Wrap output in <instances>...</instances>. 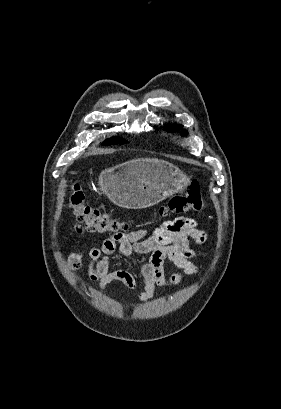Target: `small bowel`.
I'll use <instances>...</instances> for the list:
<instances>
[{
    "label": "small bowel",
    "instance_id": "obj_1",
    "mask_svg": "<svg viewBox=\"0 0 281 409\" xmlns=\"http://www.w3.org/2000/svg\"><path fill=\"white\" fill-rule=\"evenodd\" d=\"M77 230L81 232V226H78ZM205 239V233L198 227L197 222L189 217L165 221L153 230L138 229L115 233L88 250V274L92 281L99 282L101 291L114 282H120L127 289L134 291L137 286L134 275L124 269L111 270L110 256L115 253L124 257L148 255L149 259L138 265L144 280L140 298L147 301L154 296L158 287L176 285L185 275L197 272L196 265L191 261L195 251L190 246V240L203 243ZM83 256L81 252L71 254L72 269L79 270L82 267ZM166 261L172 262L180 272L166 275Z\"/></svg>",
    "mask_w": 281,
    "mask_h": 409
}]
</instances>
